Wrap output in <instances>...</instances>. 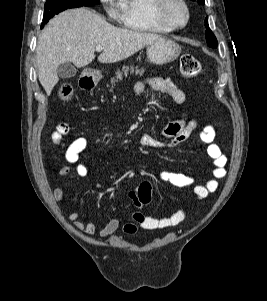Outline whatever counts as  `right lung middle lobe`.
Masks as SVG:
<instances>
[{
    "label": "right lung middle lobe",
    "instance_id": "1",
    "mask_svg": "<svg viewBox=\"0 0 267 301\" xmlns=\"http://www.w3.org/2000/svg\"><path fill=\"white\" fill-rule=\"evenodd\" d=\"M99 3V0H47L41 28H43L44 24L51 18L64 10L83 6L89 7Z\"/></svg>",
    "mask_w": 267,
    "mask_h": 301
}]
</instances>
